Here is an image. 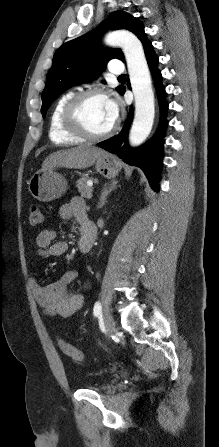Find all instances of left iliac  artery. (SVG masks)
I'll list each match as a JSON object with an SVG mask.
<instances>
[{"label":"left iliac artery","instance_id":"left-iliac-artery-1","mask_svg":"<svg viewBox=\"0 0 219 447\" xmlns=\"http://www.w3.org/2000/svg\"><path fill=\"white\" fill-rule=\"evenodd\" d=\"M93 314L95 317L102 316V306L101 303L98 301L95 303L93 308Z\"/></svg>","mask_w":219,"mask_h":447}]
</instances>
